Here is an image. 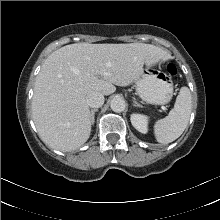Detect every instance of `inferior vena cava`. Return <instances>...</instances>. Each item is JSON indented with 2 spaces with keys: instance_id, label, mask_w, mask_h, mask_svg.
I'll use <instances>...</instances> for the list:
<instances>
[{
  "instance_id": "1",
  "label": "inferior vena cava",
  "mask_w": 220,
  "mask_h": 220,
  "mask_svg": "<svg viewBox=\"0 0 220 220\" xmlns=\"http://www.w3.org/2000/svg\"><path fill=\"white\" fill-rule=\"evenodd\" d=\"M104 95L100 92L93 91L87 95V105L92 108H99L104 104Z\"/></svg>"
}]
</instances>
